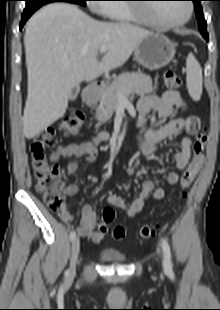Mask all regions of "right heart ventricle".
<instances>
[{"mask_svg": "<svg viewBox=\"0 0 220 310\" xmlns=\"http://www.w3.org/2000/svg\"><path fill=\"white\" fill-rule=\"evenodd\" d=\"M104 6L102 13L111 20L123 23L150 24L148 19L139 17L134 9L128 5L106 4Z\"/></svg>", "mask_w": 220, "mask_h": 310, "instance_id": "1", "label": "right heart ventricle"}]
</instances>
